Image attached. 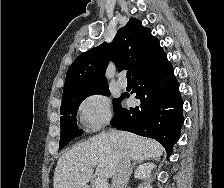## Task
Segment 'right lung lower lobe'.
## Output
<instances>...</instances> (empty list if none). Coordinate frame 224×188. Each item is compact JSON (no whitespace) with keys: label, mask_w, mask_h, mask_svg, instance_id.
<instances>
[{"label":"right lung lower lobe","mask_w":224,"mask_h":188,"mask_svg":"<svg viewBox=\"0 0 224 188\" xmlns=\"http://www.w3.org/2000/svg\"><path fill=\"white\" fill-rule=\"evenodd\" d=\"M133 83L132 93H136L135 98L140 99L141 104L123 108L122 101L129 97L123 94L115 105L111 125L118 130L156 139L170 156L180 137L184 117L179 84L167 55L136 74Z\"/></svg>","instance_id":"right-lung-lower-lobe-1"}]
</instances>
